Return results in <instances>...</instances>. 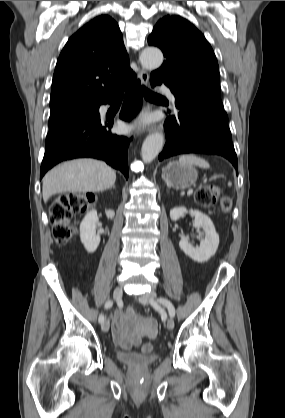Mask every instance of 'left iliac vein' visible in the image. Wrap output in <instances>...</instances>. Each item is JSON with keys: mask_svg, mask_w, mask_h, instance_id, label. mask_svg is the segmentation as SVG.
<instances>
[{"mask_svg": "<svg viewBox=\"0 0 285 418\" xmlns=\"http://www.w3.org/2000/svg\"><path fill=\"white\" fill-rule=\"evenodd\" d=\"M155 298H156V294L154 292H149L143 296L140 297V302L143 304H150L152 306H156V302H155ZM174 320L172 318H169L167 320V329L168 330H172L174 328Z\"/></svg>", "mask_w": 285, "mask_h": 418, "instance_id": "obj_1", "label": "left iliac vein"}]
</instances>
